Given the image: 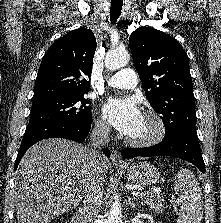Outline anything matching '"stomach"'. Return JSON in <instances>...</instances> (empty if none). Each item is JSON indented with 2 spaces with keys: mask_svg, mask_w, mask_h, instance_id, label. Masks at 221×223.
I'll list each match as a JSON object with an SVG mask.
<instances>
[{
  "mask_svg": "<svg viewBox=\"0 0 221 223\" xmlns=\"http://www.w3.org/2000/svg\"><path fill=\"white\" fill-rule=\"evenodd\" d=\"M127 178L131 183L150 185L159 180L158 169L149 162L143 161L124 167Z\"/></svg>",
  "mask_w": 221,
  "mask_h": 223,
  "instance_id": "0dacf381",
  "label": "stomach"
}]
</instances>
